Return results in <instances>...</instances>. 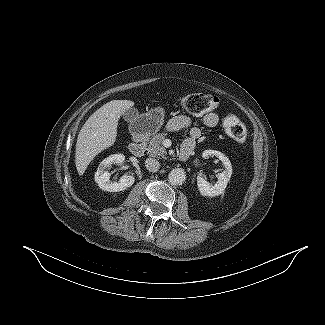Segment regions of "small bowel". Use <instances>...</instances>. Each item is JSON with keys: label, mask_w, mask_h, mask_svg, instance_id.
Here are the masks:
<instances>
[{"label": "small bowel", "mask_w": 325, "mask_h": 325, "mask_svg": "<svg viewBox=\"0 0 325 325\" xmlns=\"http://www.w3.org/2000/svg\"><path fill=\"white\" fill-rule=\"evenodd\" d=\"M203 124L206 127L213 128L217 126L219 118L215 113H207L202 118ZM191 119L185 115H178L173 117L167 123V129L170 131H178L189 128L191 126ZM201 137V130L198 127H191L189 137L184 141V144H188L195 148L196 141ZM183 144V145H184Z\"/></svg>", "instance_id": "c3829d8e"}]
</instances>
